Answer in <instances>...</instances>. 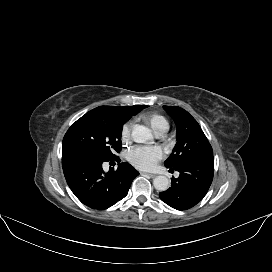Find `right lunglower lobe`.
I'll return each mask as SVG.
<instances>
[{"label": "right lung lower lobe", "instance_id": "98d812e1", "mask_svg": "<svg viewBox=\"0 0 272 272\" xmlns=\"http://www.w3.org/2000/svg\"><path fill=\"white\" fill-rule=\"evenodd\" d=\"M118 159V158H117ZM86 155L62 156L63 172L74 195L92 209L103 210L123 199L133 179L139 175L129 163H119L117 170L105 173L103 162Z\"/></svg>", "mask_w": 272, "mask_h": 272}]
</instances>
